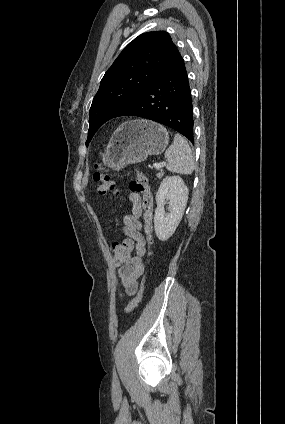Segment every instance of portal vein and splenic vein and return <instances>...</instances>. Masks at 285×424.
<instances>
[{
    "mask_svg": "<svg viewBox=\"0 0 285 424\" xmlns=\"http://www.w3.org/2000/svg\"><path fill=\"white\" fill-rule=\"evenodd\" d=\"M165 165V163H154L153 164V166L155 167V168H161V167H163Z\"/></svg>",
    "mask_w": 285,
    "mask_h": 424,
    "instance_id": "portal-vein-and-splenic-vein-1",
    "label": "portal vein and splenic vein"
}]
</instances>
